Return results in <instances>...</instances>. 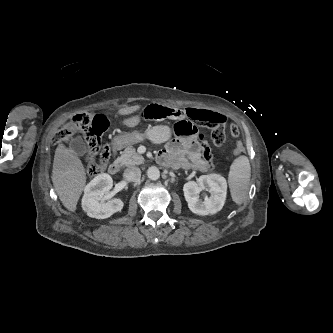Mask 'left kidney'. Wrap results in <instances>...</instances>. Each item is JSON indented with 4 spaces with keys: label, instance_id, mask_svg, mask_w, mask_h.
Listing matches in <instances>:
<instances>
[{
    "label": "left kidney",
    "instance_id": "1",
    "mask_svg": "<svg viewBox=\"0 0 333 333\" xmlns=\"http://www.w3.org/2000/svg\"><path fill=\"white\" fill-rule=\"evenodd\" d=\"M184 196L189 209L197 215L215 214L223 207L226 194L227 182L219 174L202 175L197 182L189 181L183 187ZM207 191L208 195L200 197V192Z\"/></svg>",
    "mask_w": 333,
    "mask_h": 333
}]
</instances>
